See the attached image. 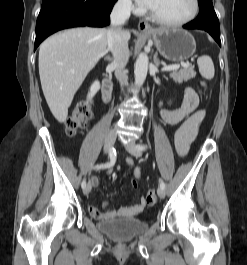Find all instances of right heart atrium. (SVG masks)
Masks as SVG:
<instances>
[{"label": "right heart atrium", "instance_id": "1", "mask_svg": "<svg viewBox=\"0 0 247 265\" xmlns=\"http://www.w3.org/2000/svg\"><path fill=\"white\" fill-rule=\"evenodd\" d=\"M119 4L125 10H135L131 0H119Z\"/></svg>", "mask_w": 247, "mask_h": 265}]
</instances>
